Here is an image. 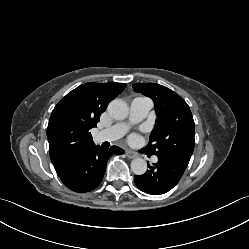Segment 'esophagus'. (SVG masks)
I'll list each match as a JSON object with an SVG mask.
<instances>
[{"label": "esophagus", "instance_id": "34e87169", "mask_svg": "<svg viewBox=\"0 0 249 249\" xmlns=\"http://www.w3.org/2000/svg\"><path fill=\"white\" fill-rule=\"evenodd\" d=\"M126 155L130 159L138 157V154L134 151H131V150H126Z\"/></svg>", "mask_w": 249, "mask_h": 249}]
</instances>
